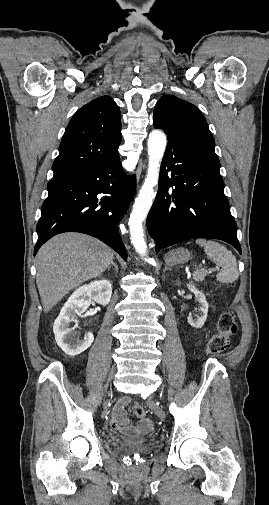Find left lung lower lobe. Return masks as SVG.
<instances>
[{
  "mask_svg": "<svg viewBox=\"0 0 269 505\" xmlns=\"http://www.w3.org/2000/svg\"><path fill=\"white\" fill-rule=\"evenodd\" d=\"M154 127L163 129L155 123ZM164 131L168 145L158 192L147 217L156 253L192 238L220 239L241 253L215 145L190 134Z\"/></svg>",
  "mask_w": 269,
  "mask_h": 505,
  "instance_id": "obj_1",
  "label": "left lung lower lobe"
}]
</instances>
